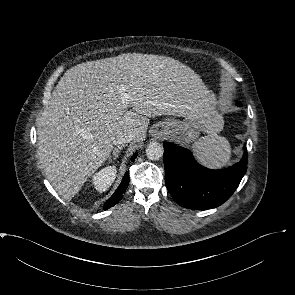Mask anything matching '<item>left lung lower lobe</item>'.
<instances>
[{
    "label": "left lung lower lobe",
    "mask_w": 295,
    "mask_h": 295,
    "mask_svg": "<svg viewBox=\"0 0 295 295\" xmlns=\"http://www.w3.org/2000/svg\"><path fill=\"white\" fill-rule=\"evenodd\" d=\"M243 149L239 163L224 170H210L199 165L189 150L165 142V184L170 195L176 203L189 209L220 206L234 193L246 172L248 155L245 146Z\"/></svg>",
    "instance_id": "obj_1"
}]
</instances>
